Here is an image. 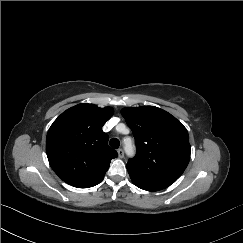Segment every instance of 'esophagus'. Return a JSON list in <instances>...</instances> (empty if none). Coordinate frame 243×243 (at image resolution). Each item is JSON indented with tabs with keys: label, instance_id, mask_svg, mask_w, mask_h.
I'll use <instances>...</instances> for the list:
<instances>
[{
	"label": "esophagus",
	"instance_id": "34e87169",
	"mask_svg": "<svg viewBox=\"0 0 243 243\" xmlns=\"http://www.w3.org/2000/svg\"><path fill=\"white\" fill-rule=\"evenodd\" d=\"M117 152H118V156H119V158H123V157H124V150H123L122 148H119V149L117 150Z\"/></svg>",
	"mask_w": 243,
	"mask_h": 243
}]
</instances>
